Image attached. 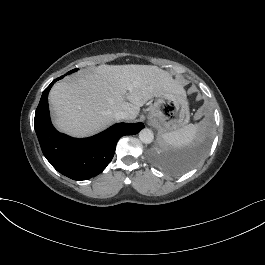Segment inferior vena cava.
I'll return each instance as SVG.
<instances>
[{
  "label": "inferior vena cava",
  "instance_id": "obj_1",
  "mask_svg": "<svg viewBox=\"0 0 265 265\" xmlns=\"http://www.w3.org/2000/svg\"><path fill=\"white\" fill-rule=\"evenodd\" d=\"M113 115L116 119L120 120V119H128V112L123 111V110H116L113 112Z\"/></svg>",
  "mask_w": 265,
  "mask_h": 265
}]
</instances>
